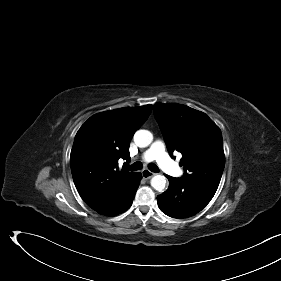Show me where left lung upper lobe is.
Listing matches in <instances>:
<instances>
[{"mask_svg":"<svg viewBox=\"0 0 281 281\" xmlns=\"http://www.w3.org/2000/svg\"><path fill=\"white\" fill-rule=\"evenodd\" d=\"M153 109L170 155L182 154V178L217 190L225 165L219 127L205 113L182 104H156Z\"/></svg>","mask_w":281,"mask_h":281,"instance_id":"5c2ea615","label":"left lung upper lobe"}]
</instances>
